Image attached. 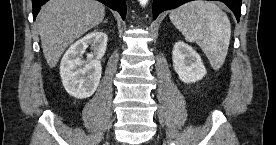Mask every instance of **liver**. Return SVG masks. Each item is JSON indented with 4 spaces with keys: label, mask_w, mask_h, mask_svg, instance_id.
I'll use <instances>...</instances> for the list:
<instances>
[{
    "label": "liver",
    "mask_w": 276,
    "mask_h": 145,
    "mask_svg": "<svg viewBox=\"0 0 276 145\" xmlns=\"http://www.w3.org/2000/svg\"><path fill=\"white\" fill-rule=\"evenodd\" d=\"M104 16L105 7L96 0L48 1L40 10L37 25L49 67H55L66 48L99 25Z\"/></svg>",
    "instance_id": "liver-1"
}]
</instances>
